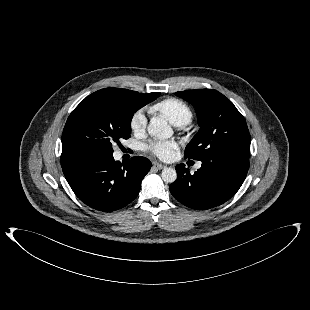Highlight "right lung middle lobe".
Here are the masks:
<instances>
[{
	"instance_id": "right-lung-middle-lobe-1",
	"label": "right lung middle lobe",
	"mask_w": 310,
	"mask_h": 310,
	"mask_svg": "<svg viewBox=\"0 0 310 310\" xmlns=\"http://www.w3.org/2000/svg\"><path fill=\"white\" fill-rule=\"evenodd\" d=\"M154 93L143 100H133L105 90L86 97L70 114L62 134V152L108 150L120 139H128L134 113L155 100Z\"/></svg>"
}]
</instances>
